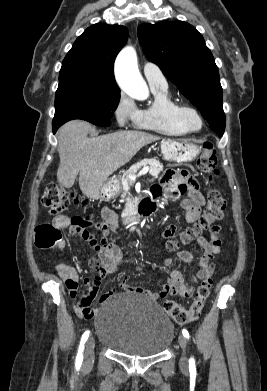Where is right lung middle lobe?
Here are the masks:
<instances>
[{"mask_svg":"<svg viewBox=\"0 0 267 391\" xmlns=\"http://www.w3.org/2000/svg\"><path fill=\"white\" fill-rule=\"evenodd\" d=\"M119 99L120 89L112 81L91 75L59 78L53 125L83 119L97 126H109Z\"/></svg>","mask_w":267,"mask_h":391,"instance_id":"obj_1","label":"right lung middle lobe"}]
</instances>
